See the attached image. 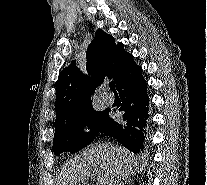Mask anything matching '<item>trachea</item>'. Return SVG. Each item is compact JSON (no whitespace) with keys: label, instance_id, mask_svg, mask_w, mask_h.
Instances as JSON below:
<instances>
[{"label":"trachea","instance_id":"trachea-1","mask_svg":"<svg viewBox=\"0 0 207 185\" xmlns=\"http://www.w3.org/2000/svg\"><path fill=\"white\" fill-rule=\"evenodd\" d=\"M109 86L114 93H117L114 82H111Z\"/></svg>","mask_w":207,"mask_h":185}]
</instances>
